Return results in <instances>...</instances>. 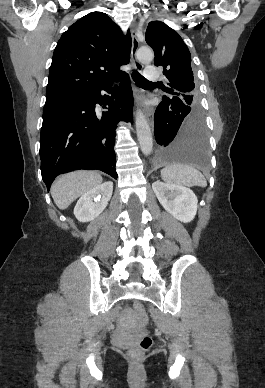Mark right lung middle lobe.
Segmentation results:
<instances>
[{"label":"right lung middle lobe","mask_w":265,"mask_h":388,"mask_svg":"<svg viewBox=\"0 0 265 388\" xmlns=\"http://www.w3.org/2000/svg\"><path fill=\"white\" fill-rule=\"evenodd\" d=\"M56 101H58V100H56ZM53 102H55V101H46L45 106H46V105H49V104H51V103H53Z\"/></svg>","instance_id":"obj_1"}]
</instances>
